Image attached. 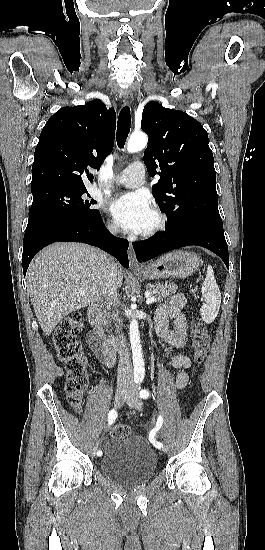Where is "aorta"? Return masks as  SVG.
<instances>
[{"instance_id": "762f6f07", "label": "aorta", "mask_w": 265, "mask_h": 550, "mask_svg": "<svg viewBox=\"0 0 265 550\" xmlns=\"http://www.w3.org/2000/svg\"><path fill=\"white\" fill-rule=\"evenodd\" d=\"M148 138L144 133H133L127 144V151L129 153H135L144 149L147 145ZM130 344L132 349V358L134 365V372L137 375H144V359L142 354V347L140 341L139 325L138 321L133 318L129 326Z\"/></svg>"}]
</instances>
